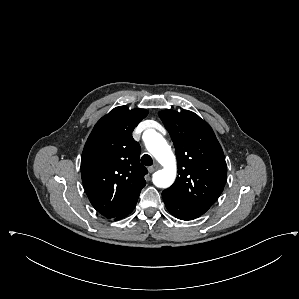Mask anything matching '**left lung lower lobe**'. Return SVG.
Instances as JSON below:
<instances>
[{
    "instance_id": "0a47b994",
    "label": "left lung lower lobe",
    "mask_w": 299,
    "mask_h": 299,
    "mask_svg": "<svg viewBox=\"0 0 299 299\" xmlns=\"http://www.w3.org/2000/svg\"><path fill=\"white\" fill-rule=\"evenodd\" d=\"M162 197L168 211L178 219L188 221L196 219L204 214L179 201L170 193L163 191Z\"/></svg>"
}]
</instances>
